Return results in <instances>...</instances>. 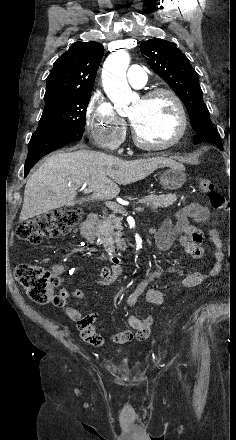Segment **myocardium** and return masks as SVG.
I'll use <instances>...</instances> for the list:
<instances>
[{
    "label": "myocardium",
    "mask_w": 236,
    "mask_h": 440,
    "mask_svg": "<svg viewBox=\"0 0 236 440\" xmlns=\"http://www.w3.org/2000/svg\"><path fill=\"white\" fill-rule=\"evenodd\" d=\"M159 96H167L173 102V104L176 108L177 114H178V119H179L178 130H177L175 136L171 140H169L165 143H161V144H152V143H148V142H145L144 140H142L132 125V136H133L134 143L138 147L145 149V150L158 151V150H164V149H168L170 147H173L174 145L179 143L184 138V136L187 132L188 118H187L186 109L184 107L182 100L174 91L167 89V88H155V89L147 91L142 96L141 99L143 101H148V100H151V99L159 97Z\"/></svg>",
    "instance_id": "obj_1"
}]
</instances>
